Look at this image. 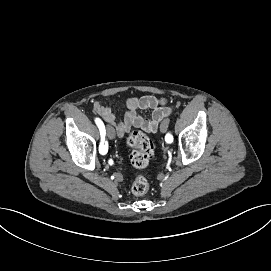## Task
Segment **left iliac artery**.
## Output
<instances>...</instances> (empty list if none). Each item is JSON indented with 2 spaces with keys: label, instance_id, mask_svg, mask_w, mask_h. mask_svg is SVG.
<instances>
[{
  "label": "left iliac artery",
  "instance_id": "obj_1",
  "mask_svg": "<svg viewBox=\"0 0 271 271\" xmlns=\"http://www.w3.org/2000/svg\"><path fill=\"white\" fill-rule=\"evenodd\" d=\"M173 135L172 134H170V133H168V134H166L165 135V141H166V143H168V144H173Z\"/></svg>",
  "mask_w": 271,
  "mask_h": 271
}]
</instances>
